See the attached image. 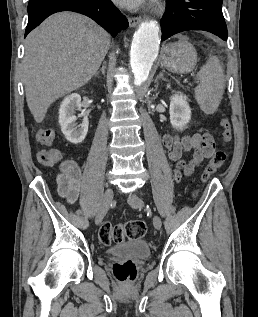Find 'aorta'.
Segmentation results:
<instances>
[{"instance_id": "aorta-1", "label": "aorta", "mask_w": 258, "mask_h": 317, "mask_svg": "<svg viewBox=\"0 0 258 317\" xmlns=\"http://www.w3.org/2000/svg\"><path fill=\"white\" fill-rule=\"evenodd\" d=\"M159 45L160 38L157 22H143L134 34L130 52V64L135 85H141L147 80L151 67L158 55Z\"/></svg>"}]
</instances>
